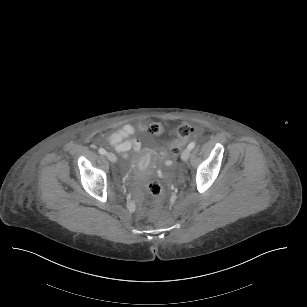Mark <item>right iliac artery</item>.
Returning a JSON list of instances; mask_svg holds the SVG:
<instances>
[{"label": "right iliac artery", "mask_w": 307, "mask_h": 307, "mask_svg": "<svg viewBox=\"0 0 307 307\" xmlns=\"http://www.w3.org/2000/svg\"><path fill=\"white\" fill-rule=\"evenodd\" d=\"M98 152H99L100 154H102V155H105V154L107 153L106 150L103 149V148H99V149H98Z\"/></svg>", "instance_id": "obj_1"}]
</instances>
